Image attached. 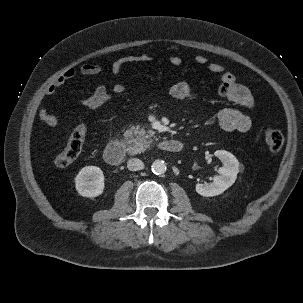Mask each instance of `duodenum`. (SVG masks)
<instances>
[{"label":"duodenum","instance_id":"1","mask_svg":"<svg viewBox=\"0 0 303 303\" xmlns=\"http://www.w3.org/2000/svg\"><path fill=\"white\" fill-rule=\"evenodd\" d=\"M159 147L162 151L168 153L180 152L184 145L181 141L176 139H167L160 142ZM126 154V147L124 142L116 140L109 143L104 151V159L110 165H119Z\"/></svg>","mask_w":303,"mask_h":303}]
</instances>
